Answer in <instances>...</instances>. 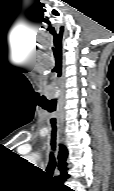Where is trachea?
Instances as JSON below:
<instances>
[{
    "label": "trachea",
    "mask_w": 114,
    "mask_h": 191,
    "mask_svg": "<svg viewBox=\"0 0 114 191\" xmlns=\"http://www.w3.org/2000/svg\"><path fill=\"white\" fill-rule=\"evenodd\" d=\"M48 112L52 113L53 111H55V109L52 108H45ZM51 125H52V135H51V147L52 150L54 151L56 148V119L52 118L51 119ZM56 167V161H55V157L53 152L50 153V158H49V164L47 166V172L52 175V173L54 172V169Z\"/></svg>",
    "instance_id": "obj_1"
}]
</instances>
